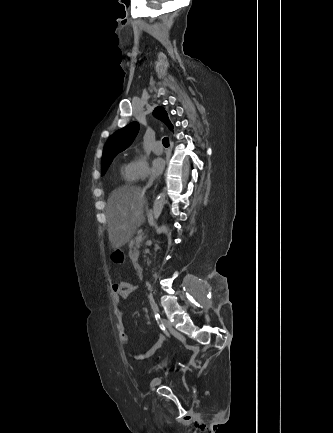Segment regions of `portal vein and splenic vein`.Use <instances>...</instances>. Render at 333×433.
<instances>
[{
    "label": "portal vein and splenic vein",
    "instance_id": "1",
    "mask_svg": "<svg viewBox=\"0 0 333 433\" xmlns=\"http://www.w3.org/2000/svg\"><path fill=\"white\" fill-rule=\"evenodd\" d=\"M136 241H137V242H142V236H138V237L136 238Z\"/></svg>",
    "mask_w": 333,
    "mask_h": 433
}]
</instances>
